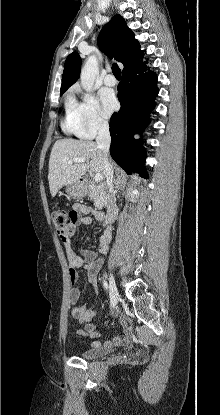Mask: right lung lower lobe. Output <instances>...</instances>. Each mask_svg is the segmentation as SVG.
<instances>
[{
  "instance_id": "1",
  "label": "right lung lower lobe",
  "mask_w": 220,
  "mask_h": 415,
  "mask_svg": "<svg viewBox=\"0 0 220 415\" xmlns=\"http://www.w3.org/2000/svg\"><path fill=\"white\" fill-rule=\"evenodd\" d=\"M147 63V62H146ZM146 63L138 68L124 72L118 85L119 112L110 119V154L115 162L128 174L133 170L147 178L141 163L143 151L139 150V141L133 138L148 125V116L154 108V99L158 94L157 75L148 69ZM138 162L135 166L134 163Z\"/></svg>"
}]
</instances>
